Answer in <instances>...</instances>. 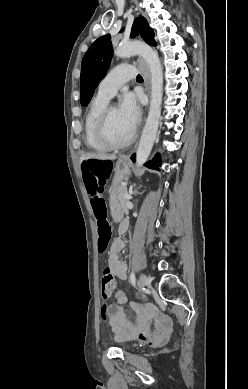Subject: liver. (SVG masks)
Returning a JSON list of instances; mask_svg holds the SVG:
<instances>
[{
    "label": "liver",
    "mask_w": 248,
    "mask_h": 389,
    "mask_svg": "<svg viewBox=\"0 0 248 389\" xmlns=\"http://www.w3.org/2000/svg\"><path fill=\"white\" fill-rule=\"evenodd\" d=\"M98 159V160H115L116 155H108L104 153H87L81 156V160Z\"/></svg>",
    "instance_id": "1"
}]
</instances>
